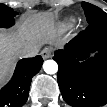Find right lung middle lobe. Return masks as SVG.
Listing matches in <instances>:
<instances>
[{
	"mask_svg": "<svg viewBox=\"0 0 107 107\" xmlns=\"http://www.w3.org/2000/svg\"><path fill=\"white\" fill-rule=\"evenodd\" d=\"M17 13L12 8L0 4V27H11L14 24V16Z\"/></svg>",
	"mask_w": 107,
	"mask_h": 107,
	"instance_id": "obj_1",
	"label": "right lung middle lobe"
}]
</instances>
